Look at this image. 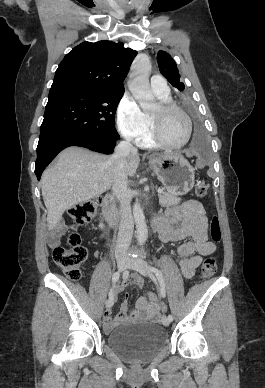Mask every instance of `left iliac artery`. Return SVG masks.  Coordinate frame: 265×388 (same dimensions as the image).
<instances>
[{
	"mask_svg": "<svg viewBox=\"0 0 265 388\" xmlns=\"http://www.w3.org/2000/svg\"><path fill=\"white\" fill-rule=\"evenodd\" d=\"M149 270L156 275V277L159 281V284H160V293H161L162 297H165V295H166L165 282H164V278H163V274H162L161 270H159L158 268L153 267V266H150ZM168 319L170 320V322L173 321V316L171 314H169Z\"/></svg>",
	"mask_w": 265,
	"mask_h": 388,
	"instance_id": "44dca946",
	"label": "left iliac artery"
}]
</instances>
